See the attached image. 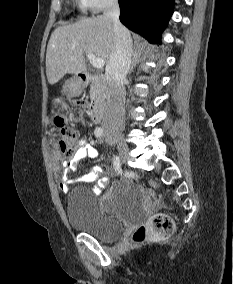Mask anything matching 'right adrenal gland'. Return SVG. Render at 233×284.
Segmentation results:
<instances>
[{
  "label": "right adrenal gland",
  "instance_id": "2a0ac1e0",
  "mask_svg": "<svg viewBox=\"0 0 233 284\" xmlns=\"http://www.w3.org/2000/svg\"><path fill=\"white\" fill-rule=\"evenodd\" d=\"M141 55H142V49H136L133 52L132 63H131L129 74L132 73L133 68L136 65V63H139L141 61Z\"/></svg>",
  "mask_w": 233,
  "mask_h": 284
}]
</instances>
